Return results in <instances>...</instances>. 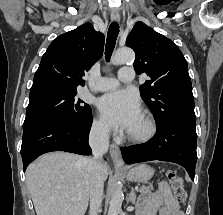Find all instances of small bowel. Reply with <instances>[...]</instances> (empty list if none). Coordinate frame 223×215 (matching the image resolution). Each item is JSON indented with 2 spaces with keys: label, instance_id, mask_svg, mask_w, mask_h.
I'll return each mask as SVG.
<instances>
[{
  "label": "small bowel",
  "instance_id": "small-bowel-1",
  "mask_svg": "<svg viewBox=\"0 0 223 215\" xmlns=\"http://www.w3.org/2000/svg\"><path fill=\"white\" fill-rule=\"evenodd\" d=\"M138 215H184V213L167 184L161 183L156 192L140 199Z\"/></svg>",
  "mask_w": 223,
  "mask_h": 215
}]
</instances>
